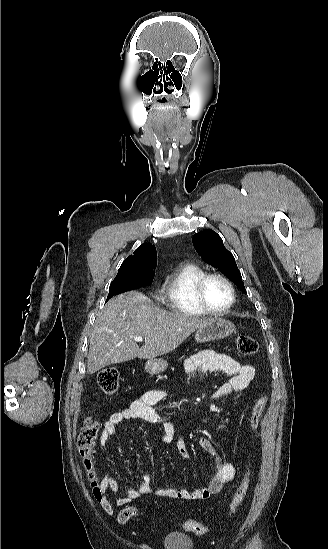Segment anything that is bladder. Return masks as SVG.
Instances as JSON below:
<instances>
[{"label": "bladder", "instance_id": "bladder-1", "mask_svg": "<svg viewBox=\"0 0 328 549\" xmlns=\"http://www.w3.org/2000/svg\"><path fill=\"white\" fill-rule=\"evenodd\" d=\"M164 543L166 549H192L193 547V539L180 534H166Z\"/></svg>", "mask_w": 328, "mask_h": 549}]
</instances>
